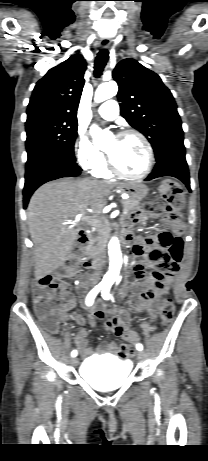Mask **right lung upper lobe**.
Returning a JSON list of instances; mask_svg holds the SVG:
<instances>
[{"label":"right lung upper lobe","mask_w":208,"mask_h":461,"mask_svg":"<svg viewBox=\"0 0 208 461\" xmlns=\"http://www.w3.org/2000/svg\"><path fill=\"white\" fill-rule=\"evenodd\" d=\"M85 70L86 61L80 54L72 55L51 68L36 83L28 104L27 116L77 121Z\"/></svg>","instance_id":"cb5924a9"}]
</instances>
